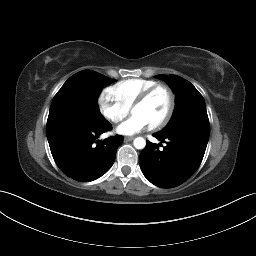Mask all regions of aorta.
<instances>
[{"label":"aorta","mask_w":256,"mask_h":256,"mask_svg":"<svg viewBox=\"0 0 256 256\" xmlns=\"http://www.w3.org/2000/svg\"><path fill=\"white\" fill-rule=\"evenodd\" d=\"M133 145L136 149H143L146 146V141L142 137H137L134 139Z\"/></svg>","instance_id":"aorta-1"}]
</instances>
